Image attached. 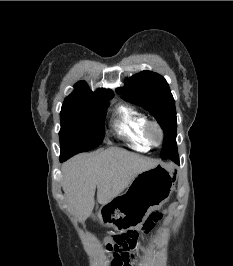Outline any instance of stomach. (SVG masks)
Instances as JSON below:
<instances>
[{"instance_id": "1", "label": "stomach", "mask_w": 233, "mask_h": 266, "mask_svg": "<svg viewBox=\"0 0 233 266\" xmlns=\"http://www.w3.org/2000/svg\"><path fill=\"white\" fill-rule=\"evenodd\" d=\"M176 176L178 167L161 163L139 173L124 194L102 205L104 228H111L112 232H132L133 228H140L147 216L168 198Z\"/></svg>"}]
</instances>
